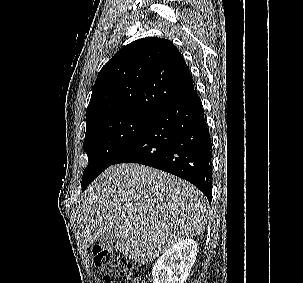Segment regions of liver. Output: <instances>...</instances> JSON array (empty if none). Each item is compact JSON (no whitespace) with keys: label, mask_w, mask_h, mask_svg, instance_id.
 I'll return each instance as SVG.
<instances>
[{"label":"liver","mask_w":303,"mask_h":283,"mask_svg":"<svg viewBox=\"0 0 303 283\" xmlns=\"http://www.w3.org/2000/svg\"><path fill=\"white\" fill-rule=\"evenodd\" d=\"M207 208L204 195L181 178L144 165L118 164L83 193L78 232L85 248L112 235L121 253L145 264L178 241L203 233Z\"/></svg>","instance_id":"obj_1"}]
</instances>
